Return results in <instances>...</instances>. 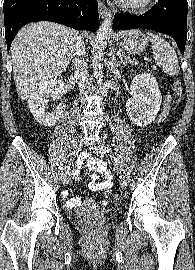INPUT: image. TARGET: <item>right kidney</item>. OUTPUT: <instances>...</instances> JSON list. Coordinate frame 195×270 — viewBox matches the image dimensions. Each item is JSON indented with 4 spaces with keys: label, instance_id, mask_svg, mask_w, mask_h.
<instances>
[{
    "label": "right kidney",
    "instance_id": "right-kidney-1",
    "mask_svg": "<svg viewBox=\"0 0 195 270\" xmlns=\"http://www.w3.org/2000/svg\"><path fill=\"white\" fill-rule=\"evenodd\" d=\"M63 89L64 82L62 80L55 79L51 82L45 83L29 97L28 107L39 124L51 127L54 126L61 117H63L65 112L64 104H60L51 112L48 111L49 97H58Z\"/></svg>",
    "mask_w": 195,
    "mask_h": 270
}]
</instances>
